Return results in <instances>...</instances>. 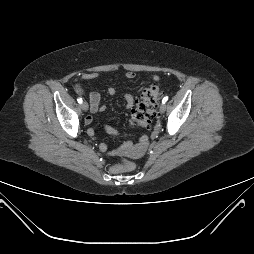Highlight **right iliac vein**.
I'll list each match as a JSON object with an SVG mask.
<instances>
[{"label":"right iliac vein","mask_w":254,"mask_h":254,"mask_svg":"<svg viewBox=\"0 0 254 254\" xmlns=\"http://www.w3.org/2000/svg\"><path fill=\"white\" fill-rule=\"evenodd\" d=\"M81 108H82V110H84V111H87L88 110V103L87 102H82L81 103Z\"/></svg>","instance_id":"right-iliac-vein-1"}]
</instances>
